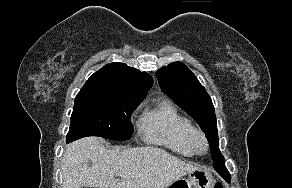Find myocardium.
<instances>
[{
  "label": "myocardium",
  "instance_id": "obj_1",
  "mask_svg": "<svg viewBox=\"0 0 292 188\" xmlns=\"http://www.w3.org/2000/svg\"><path fill=\"white\" fill-rule=\"evenodd\" d=\"M191 142L196 152L206 153L209 150V143L205 134L200 130H194Z\"/></svg>",
  "mask_w": 292,
  "mask_h": 188
}]
</instances>
